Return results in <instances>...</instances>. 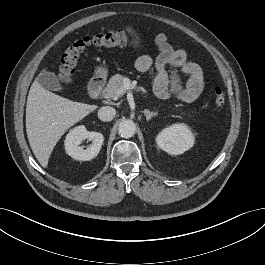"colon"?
Segmentation results:
<instances>
[{
    "instance_id": "5ec220e1",
    "label": "colon",
    "mask_w": 265,
    "mask_h": 265,
    "mask_svg": "<svg viewBox=\"0 0 265 265\" xmlns=\"http://www.w3.org/2000/svg\"><path fill=\"white\" fill-rule=\"evenodd\" d=\"M137 34L134 28L132 31H105L90 36H85L71 44L61 55L59 72L63 82H68L78 64L81 54L89 47H119L126 45ZM226 100L225 92L221 87L213 91V103L217 107L224 105Z\"/></svg>"
}]
</instances>
